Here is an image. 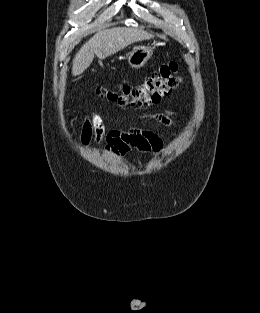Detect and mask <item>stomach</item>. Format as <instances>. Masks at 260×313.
<instances>
[{
	"label": "stomach",
	"instance_id": "stomach-1",
	"mask_svg": "<svg viewBox=\"0 0 260 313\" xmlns=\"http://www.w3.org/2000/svg\"><path fill=\"white\" fill-rule=\"evenodd\" d=\"M154 47L150 45L134 46L127 54V63L130 67L138 69L143 67L147 61L152 57Z\"/></svg>",
	"mask_w": 260,
	"mask_h": 313
}]
</instances>
